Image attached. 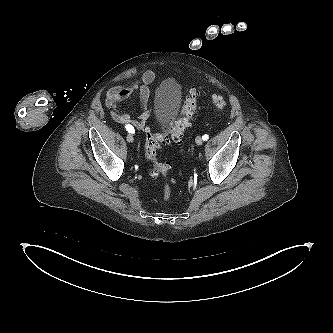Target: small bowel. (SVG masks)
Returning <instances> with one entry per match:
<instances>
[{
    "label": "small bowel",
    "instance_id": "c3829d8e",
    "mask_svg": "<svg viewBox=\"0 0 333 333\" xmlns=\"http://www.w3.org/2000/svg\"><path fill=\"white\" fill-rule=\"evenodd\" d=\"M155 80V73L152 70L144 71L140 78L126 84L113 87L105 94V105L110 110L111 118L118 124L130 125L133 128L142 129L150 115L148 102L151 95L150 85ZM137 93L141 104V112L137 118L119 109L121 102L131 95Z\"/></svg>",
    "mask_w": 333,
    "mask_h": 333
}]
</instances>
